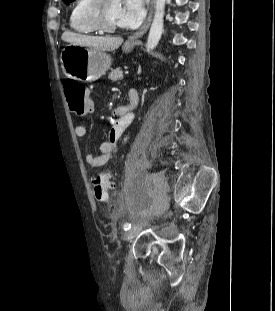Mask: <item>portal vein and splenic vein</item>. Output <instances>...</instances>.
<instances>
[{
  "mask_svg": "<svg viewBox=\"0 0 275 311\" xmlns=\"http://www.w3.org/2000/svg\"><path fill=\"white\" fill-rule=\"evenodd\" d=\"M129 73V71H125V74L127 75Z\"/></svg>",
  "mask_w": 275,
  "mask_h": 311,
  "instance_id": "1",
  "label": "portal vein and splenic vein"
}]
</instances>
